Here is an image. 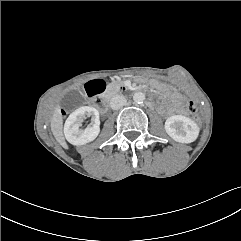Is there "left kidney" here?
Masks as SVG:
<instances>
[{"label":"left kidney","instance_id":"1","mask_svg":"<svg viewBox=\"0 0 241 241\" xmlns=\"http://www.w3.org/2000/svg\"><path fill=\"white\" fill-rule=\"evenodd\" d=\"M165 130L172 139L180 143L194 142L199 135L197 124L181 115L169 117L165 122Z\"/></svg>","mask_w":241,"mask_h":241}]
</instances>
